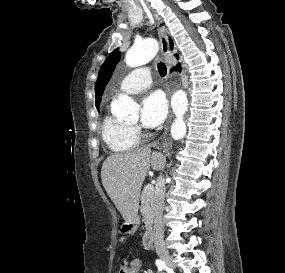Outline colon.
<instances>
[{
	"instance_id": "colon-1",
	"label": "colon",
	"mask_w": 285,
	"mask_h": 273,
	"mask_svg": "<svg viewBox=\"0 0 285 273\" xmlns=\"http://www.w3.org/2000/svg\"><path fill=\"white\" fill-rule=\"evenodd\" d=\"M139 267L140 263L138 260H133L131 262L124 261L121 264L118 273H136Z\"/></svg>"
}]
</instances>
